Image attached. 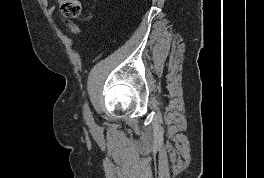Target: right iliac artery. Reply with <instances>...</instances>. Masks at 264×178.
<instances>
[{
	"instance_id": "right-iliac-artery-1",
	"label": "right iliac artery",
	"mask_w": 264,
	"mask_h": 178,
	"mask_svg": "<svg viewBox=\"0 0 264 178\" xmlns=\"http://www.w3.org/2000/svg\"><path fill=\"white\" fill-rule=\"evenodd\" d=\"M83 113H84V118H85L87 124L89 126H93L94 121H93V118H92V115H91V112H90V109H89V106L87 103L84 105Z\"/></svg>"
}]
</instances>
